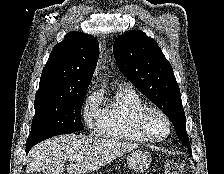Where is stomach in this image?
Instances as JSON below:
<instances>
[{
  "label": "stomach",
  "mask_w": 224,
  "mask_h": 174,
  "mask_svg": "<svg viewBox=\"0 0 224 174\" xmlns=\"http://www.w3.org/2000/svg\"><path fill=\"white\" fill-rule=\"evenodd\" d=\"M126 162L130 169L143 171L148 168L151 162V155L146 150L136 149L128 153Z\"/></svg>",
  "instance_id": "0dacf381"
}]
</instances>
